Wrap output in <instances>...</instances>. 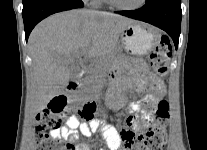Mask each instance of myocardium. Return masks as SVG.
<instances>
[{
  "instance_id": "obj_1",
  "label": "myocardium",
  "mask_w": 207,
  "mask_h": 150,
  "mask_svg": "<svg viewBox=\"0 0 207 150\" xmlns=\"http://www.w3.org/2000/svg\"><path fill=\"white\" fill-rule=\"evenodd\" d=\"M111 6L122 11H136L141 9L147 3V0H141L136 6L126 7L120 5L116 0H106Z\"/></svg>"
}]
</instances>
